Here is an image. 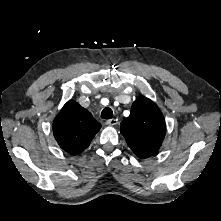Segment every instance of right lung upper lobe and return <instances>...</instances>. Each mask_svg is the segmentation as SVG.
<instances>
[{"label": "right lung upper lobe", "instance_id": "right-lung-upper-lobe-1", "mask_svg": "<svg viewBox=\"0 0 221 221\" xmlns=\"http://www.w3.org/2000/svg\"><path fill=\"white\" fill-rule=\"evenodd\" d=\"M101 124L76 101H68L53 122V133L59 146L77 155L86 149Z\"/></svg>", "mask_w": 221, "mask_h": 221}]
</instances>
